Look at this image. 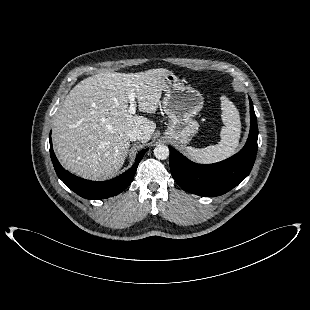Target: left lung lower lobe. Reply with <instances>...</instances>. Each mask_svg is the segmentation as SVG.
<instances>
[{
	"mask_svg": "<svg viewBox=\"0 0 310 310\" xmlns=\"http://www.w3.org/2000/svg\"><path fill=\"white\" fill-rule=\"evenodd\" d=\"M250 101V132L245 146L234 156L215 164L202 165L188 160L169 146L170 170L185 191L205 196L222 195L236 187L250 173L257 154V119Z\"/></svg>",
	"mask_w": 310,
	"mask_h": 310,
	"instance_id": "0a47b994",
	"label": "left lung lower lobe"
}]
</instances>
